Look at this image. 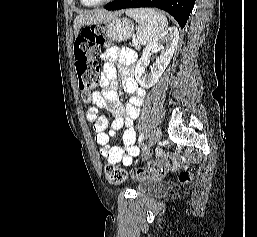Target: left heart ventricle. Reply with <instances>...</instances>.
<instances>
[{
  "instance_id": "left-heart-ventricle-1",
  "label": "left heart ventricle",
  "mask_w": 257,
  "mask_h": 237,
  "mask_svg": "<svg viewBox=\"0 0 257 237\" xmlns=\"http://www.w3.org/2000/svg\"><path fill=\"white\" fill-rule=\"evenodd\" d=\"M86 2L88 3H94V2H99V1H102V0H85Z\"/></svg>"
}]
</instances>
